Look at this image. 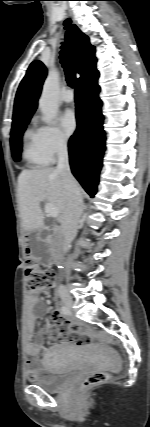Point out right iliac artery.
<instances>
[{"label":"right iliac artery","instance_id":"obj_1","mask_svg":"<svg viewBox=\"0 0 150 427\" xmlns=\"http://www.w3.org/2000/svg\"><path fill=\"white\" fill-rule=\"evenodd\" d=\"M61 312H62L63 314H65V315H67V314H68V312H69V310H68V308H67V307L62 306V307H61Z\"/></svg>","mask_w":150,"mask_h":427}]
</instances>
